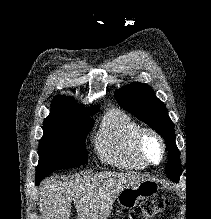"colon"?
<instances>
[{
	"label": "colon",
	"instance_id": "colon-1",
	"mask_svg": "<svg viewBox=\"0 0 211 219\" xmlns=\"http://www.w3.org/2000/svg\"><path fill=\"white\" fill-rule=\"evenodd\" d=\"M171 204V198L164 195L156 196L142 202L137 209L123 219H152L162 214Z\"/></svg>",
	"mask_w": 211,
	"mask_h": 219
}]
</instances>
